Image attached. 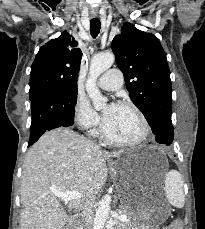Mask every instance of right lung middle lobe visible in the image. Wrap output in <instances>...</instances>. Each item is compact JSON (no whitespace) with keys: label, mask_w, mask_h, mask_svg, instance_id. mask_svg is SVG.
Instances as JSON below:
<instances>
[{"label":"right lung middle lobe","mask_w":205,"mask_h":229,"mask_svg":"<svg viewBox=\"0 0 205 229\" xmlns=\"http://www.w3.org/2000/svg\"><path fill=\"white\" fill-rule=\"evenodd\" d=\"M66 92L77 98V86L76 85H68L66 88Z\"/></svg>","instance_id":"right-lung-middle-lobe-1"}]
</instances>
